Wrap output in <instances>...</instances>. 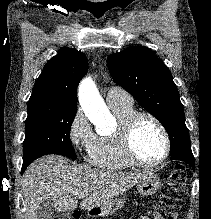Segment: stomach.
Listing matches in <instances>:
<instances>
[{
	"label": "stomach",
	"instance_id": "0dacf381",
	"mask_svg": "<svg viewBox=\"0 0 211 219\" xmlns=\"http://www.w3.org/2000/svg\"><path fill=\"white\" fill-rule=\"evenodd\" d=\"M161 182L159 176L155 173H150L140 183L137 184L138 192L143 196L155 194L159 189ZM126 202L125 197L115 198L111 202L89 210V214L98 216H108L121 209Z\"/></svg>",
	"mask_w": 211,
	"mask_h": 219
}]
</instances>
